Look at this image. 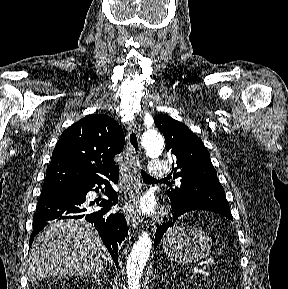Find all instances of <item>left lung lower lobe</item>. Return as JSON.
I'll use <instances>...</instances> for the list:
<instances>
[{"instance_id":"1","label":"left lung lower lobe","mask_w":288,"mask_h":289,"mask_svg":"<svg viewBox=\"0 0 288 289\" xmlns=\"http://www.w3.org/2000/svg\"><path fill=\"white\" fill-rule=\"evenodd\" d=\"M171 208L173 210V218H174V222L176 221V219L183 215L186 212H190L192 210H202V209H198V208H184L178 204H171ZM229 219V218H228ZM232 220V219H230ZM172 221L168 222V223H164L162 226L158 227V229L156 230V236H155V241H154V246L156 247L158 245V243L160 242L161 238L163 237L164 233L166 232V230L171 226Z\"/></svg>"}]
</instances>
